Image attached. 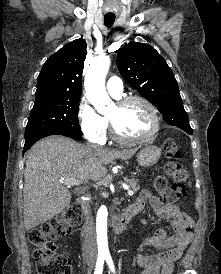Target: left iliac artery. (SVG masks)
Instances as JSON below:
<instances>
[{"label":"left iliac artery","mask_w":221,"mask_h":274,"mask_svg":"<svg viewBox=\"0 0 221 274\" xmlns=\"http://www.w3.org/2000/svg\"><path fill=\"white\" fill-rule=\"evenodd\" d=\"M105 259H106V262H107V265L109 266L110 270L115 273V267H114V264H113V261H112V258L110 256V254H107L105 256Z\"/></svg>","instance_id":"44dca946"}]
</instances>
